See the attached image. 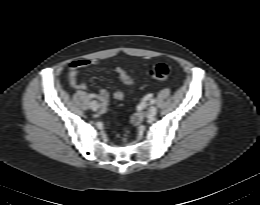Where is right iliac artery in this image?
Returning <instances> with one entry per match:
<instances>
[{"label": "right iliac artery", "mask_w": 260, "mask_h": 205, "mask_svg": "<svg viewBox=\"0 0 260 205\" xmlns=\"http://www.w3.org/2000/svg\"><path fill=\"white\" fill-rule=\"evenodd\" d=\"M90 96H91V98H94V97H95V95H94V94H91Z\"/></svg>", "instance_id": "82829eb1"}]
</instances>
